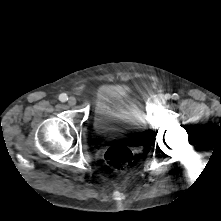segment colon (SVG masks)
<instances>
[{
    "label": "colon",
    "mask_w": 221,
    "mask_h": 221,
    "mask_svg": "<svg viewBox=\"0 0 221 221\" xmlns=\"http://www.w3.org/2000/svg\"><path fill=\"white\" fill-rule=\"evenodd\" d=\"M131 150L123 144L111 145L104 154L106 164L114 171L126 170L132 162Z\"/></svg>",
    "instance_id": "1"
}]
</instances>
